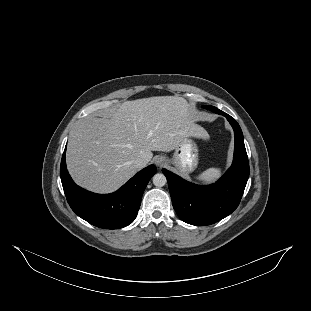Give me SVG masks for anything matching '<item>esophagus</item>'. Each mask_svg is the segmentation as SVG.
<instances>
[{
  "instance_id": "34e87169",
  "label": "esophagus",
  "mask_w": 311,
  "mask_h": 311,
  "mask_svg": "<svg viewBox=\"0 0 311 311\" xmlns=\"http://www.w3.org/2000/svg\"><path fill=\"white\" fill-rule=\"evenodd\" d=\"M154 163L157 166L161 167V166H163L164 160H163V158H157V159H155Z\"/></svg>"
}]
</instances>
